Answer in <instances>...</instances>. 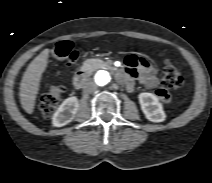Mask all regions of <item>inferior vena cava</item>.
I'll use <instances>...</instances> for the list:
<instances>
[{
    "instance_id": "602c4592",
    "label": "inferior vena cava",
    "mask_w": 212,
    "mask_h": 183,
    "mask_svg": "<svg viewBox=\"0 0 212 183\" xmlns=\"http://www.w3.org/2000/svg\"><path fill=\"white\" fill-rule=\"evenodd\" d=\"M96 89L97 85L93 81H88L83 87L85 93H93Z\"/></svg>"
}]
</instances>
